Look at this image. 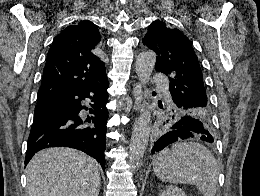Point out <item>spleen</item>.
I'll list each match as a JSON object with an SVG mask.
<instances>
[{"label":"spleen","mask_w":260,"mask_h":196,"mask_svg":"<svg viewBox=\"0 0 260 196\" xmlns=\"http://www.w3.org/2000/svg\"><path fill=\"white\" fill-rule=\"evenodd\" d=\"M153 172L162 182L197 186L203 196H215L219 172L211 152L196 142H176L153 162Z\"/></svg>","instance_id":"obj_1"}]
</instances>
